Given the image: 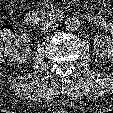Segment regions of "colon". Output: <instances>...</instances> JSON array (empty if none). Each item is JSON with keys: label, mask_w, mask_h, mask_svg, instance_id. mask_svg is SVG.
Listing matches in <instances>:
<instances>
[{"label": "colon", "mask_w": 113, "mask_h": 113, "mask_svg": "<svg viewBox=\"0 0 113 113\" xmlns=\"http://www.w3.org/2000/svg\"><path fill=\"white\" fill-rule=\"evenodd\" d=\"M13 36V32L10 29L0 26V60L4 57Z\"/></svg>", "instance_id": "obj_1"}]
</instances>
